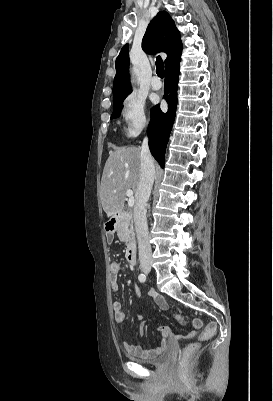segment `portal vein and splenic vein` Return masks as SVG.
<instances>
[{
	"mask_svg": "<svg viewBox=\"0 0 273 401\" xmlns=\"http://www.w3.org/2000/svg\"><path fill=\"white\" fill-rule=\"evenodd\" d=\"M126 194H127V196H129V201H128L129 207H133V205L135 203L134 196H133V190H131V188H128V190H126Z\"/></svg>",
	"mask_w": 273,
	"mask_h": 401,
	"instance_id": "1",
	"label": "portal vein and splenic vein"
}]
</instances>
